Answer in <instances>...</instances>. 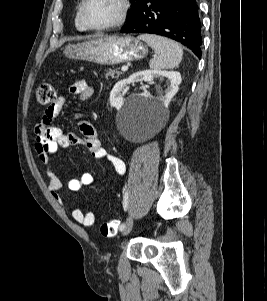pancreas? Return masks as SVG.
Returning <instances> with one entry per match:
<instances>
[{"mask_svg":"<svg viewBox=\"0 0 267 301\" xmlns=\"http://www.w3.org/2000/svg\"><path fill=\"white\" fill-rule=\"evenodd\" d=\"M120 72L117 69H109V71L106 72L105 77L108 79L110 76L112 78H118L120 76Z\"/></svg>","mask_w":267,"mask_h":301,"instance_id":"cf45deb5","label":"pancreas"}]
</instances>
